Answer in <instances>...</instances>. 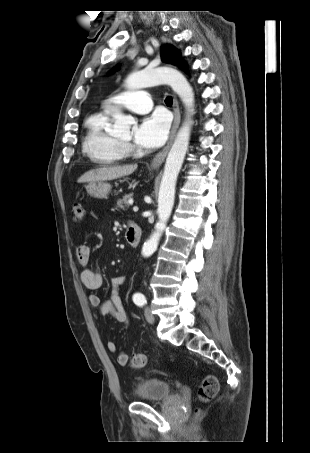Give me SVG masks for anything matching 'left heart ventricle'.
<instances>
[{"label":"left heart ventricle","instance_id":"left-heart-ventricle-1","mask_svg":"<svg viewBox=\"0 0 310 453\" xmlns=\"http://www.w3.org/2000/svg\"><path fill=\"white\" fill-rule=\"evenodd\" d=\"M123 140H124V141H127V140H129V137H127V138H125V139H123Z\"/></svg>","mask_w":310,"mask_h":453}]
</instances>
